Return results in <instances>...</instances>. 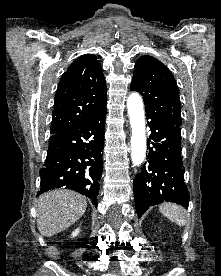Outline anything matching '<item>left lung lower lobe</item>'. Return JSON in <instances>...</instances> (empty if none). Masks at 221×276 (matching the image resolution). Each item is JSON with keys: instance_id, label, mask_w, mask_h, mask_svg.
Masks as SVG:
<instances>
[{"instance_id": "left-lung-lower-lobe-1", "label": "left lung lower lobe", "mask_w": 221, "mask_h": 276, "mask_svg": "<svg viewBox=\"0 0 221 276\" xmlns=\"http://www.w3.org/2000/svg\"><path fill=\"white\" fill-rule=\"evenodd\" d=\"M151 119L147 117V120ZM151 134L147 161L133 181L134 199L139 216L152 205L166 201L189 203L184 183V166L181 159V128L153 119L148 121Z\"/></svg>"}]
</instances>
